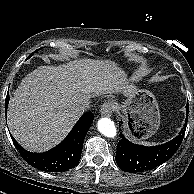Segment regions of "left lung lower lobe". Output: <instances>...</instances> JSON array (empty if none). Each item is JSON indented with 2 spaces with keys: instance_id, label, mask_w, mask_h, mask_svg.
<instances>
[{
  "instance_id": "obj_1",
  "label": "left lung lower lobe",
  "mask_w": 194,
  "mask_h": 194,
  "mask_svg": "<svg viewBox=\"0 0 194 194\" xmlns=\"http://www.w3.org/2000/svg\"><path fill=\"white\" fill-rule=\"evenodd\" d=\"M188 111V104L186 105ZM188 121V112L185 124L179 135L168 143L146 147L129 142L123 135L117 145L116 162L125 172L135 173L151 170L167 161L178 150L183 140ZM122 123V122H120Z\"/></svg>"
}]
</instances>
